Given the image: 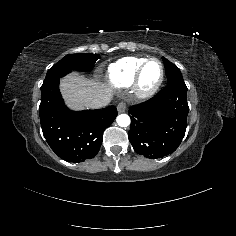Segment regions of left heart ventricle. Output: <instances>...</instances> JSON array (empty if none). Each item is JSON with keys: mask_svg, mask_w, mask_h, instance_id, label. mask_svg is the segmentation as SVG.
I'll use <instances>...</instances> for the list:
<instances>
[{"mask_svg": "<svg viewBox=\"0 0 236 236\" xmlns=\"http://www.w3.org/2000/svg\"><path fill=\"white\" fill-rule=\"evenodd\" d=\"M162 75V67L157 61L150 62L145 68L141 80L140 86L144 90L152 89L159 81Z\"/></svg>", "mask_w": 236, "mask_h": 236, "instance_id": "obj_1", "label": "left heart ventricle"}]
</instances>
